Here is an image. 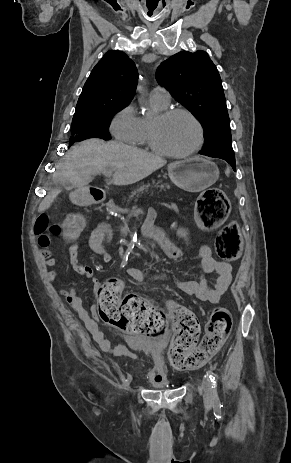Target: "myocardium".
<instances>
[{"mask_svg": "<svg viewBox=\"0 0 291 463\" xmlns=\"http://www.w3.org/2000/svg\"><path fill=\"white\" fill-rule=\"evenodd\" d=\"M177 115H184V116H187L188 118H190L196 125L197 129H198V140H197V143L190 149H188L187 151H184V152H173V151H170L168 149H166L165 147H163L162 145L159 144L158 140H157V132H156V128H155V125L150 122L149 124V144L150 146L152 147V149L161 154V155H164V156H167V157H170V158H186V157H189L193 154H195L196 152H198L203 144H204V141H205V130H204V127H203V124L201 123V121L198 119V117L192 113L190 110L188 109H184V108H171V109H166L164 111H162V113L159 115L161 119H170L174 116H177Z\"/></svg>", "mask_w": 291, "mask_h": 463, "instance_id": "obj_1", "label": "myocardium"}]
</instances>
